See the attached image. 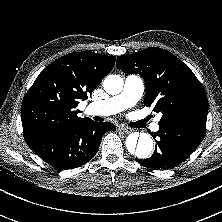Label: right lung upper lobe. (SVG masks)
<instances>
[{
	"instance_id": "1",
	"label": "right lung upper lobe",
	"mask_w": 222,
	"mask_h": 222,
	"mask_svg": "<svg viewBox=\"0 0 222 222\" xmlns=\"http://www.w3.org/2000/svg\"><path fill=\"white\" fill-rule=\"evenodd\" d=\"M115 59L114 56L82 51L62 56L47 66L22 102L24 137L66 130L89 120L78 117L76 107L111 72Z\"/></svg>"
}]
</instances>
